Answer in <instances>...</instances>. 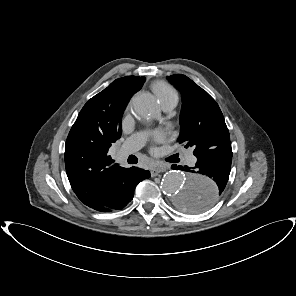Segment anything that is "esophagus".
I'll return each instance as SVG.
<instances>
[{
    "label": "esophagus",
    "mask_w": 296,
    "mask_h": 296,
    "mask_svg": "<svg viewBox=\"0 0 296 296\" xmlns=\"http://www.w3.org/2000/svg\"><path fill=\"white\" fill-rule=\"evenodd\" d=\"M166 170H167V166L160 164V165L153 166L150 169V172L152 176H157L159 173L164 172Z\"/></svg>",
    "instance_id": "34e87169"
}]
</instances>
